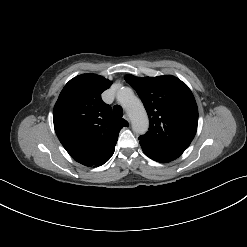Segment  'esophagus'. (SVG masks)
<instances>
[{"label":"esophagus","instance_id":"34e87169","mask_svg":"<svg viewBox=\"0 0 247 247\" xmlns=\"http://www.w3.org/2000/svg\"><path fill=\"white\" fill-rule=\"evenodd\" d=\"M124 119L130 123V118H129V116L127 114L124 115Z\"/></svg>","mask_w":247,"mask_h":247}]
</instances>
